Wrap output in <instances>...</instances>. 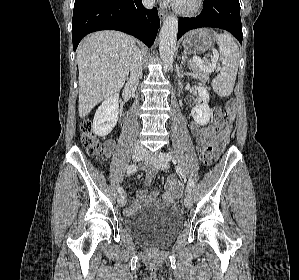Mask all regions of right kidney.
I'll use <instances>...</instances> for the list:
<instances>
[{
	"instance_id": "obj_1",
	"label": "right kidney",
	"mask_w": 299,
	"mask_h": 280,
	"mask_svg": "<svg viewBox=\"0 0 299 280\" xmlns=\"http://www.w3.org/2000/svg\"><path fill=\"white\" fill-rule=\"evenodd\" d=\"M119 95L114 94L105 99L98 107L93 119V131L98 136L108 135L118 121Z\"/></svg>"
}]
</instances>
